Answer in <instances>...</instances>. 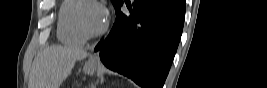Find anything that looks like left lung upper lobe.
Returning a JSON list of instances; mask_svg holds the SVG:
<instances>
[{"mask_svg":"<svg viewBox=\"0 0 267 88\" xmlns=\"http://www.w3.org/2000/svg\"><path fill=\"white\" fill-rule=\"evenodd\" d=\"M123 0H112V3L114 5V7H116L117 5H119Z\"/></svg>","mask_w":267,"mask_h":88,"instance_id":"left-lung-upper-lobe-1","label":"left lung upper lobe"}]
</instances>
